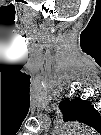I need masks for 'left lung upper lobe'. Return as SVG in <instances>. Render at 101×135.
I'll return each instance as SVG.
<instances>
[{
	"mask_svg": "<svg viewBox=\"0 0 101 135\" xmlns=\"http://www.w3.org/2000/svg\"><path fill=\"white\" fill-rule=\"evenodd\" d=\"M59 107L64 121L77 120L87 123L88 119L94 117L97 113L90 102L81 99L64 100L60 103Z\"/></svg>",
	"mask_w": 101,
	"mask_h": 135,
	"instance_id": "5c2ea615",
	"label": "left lung upper lobe"
}]
</instances>
